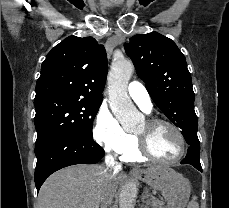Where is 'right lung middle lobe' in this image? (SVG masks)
Segmentation results:
<instances>
[{"mask_svg": "<svg viewBox=\"0 0 229 208\" xmlns=\"http://www.w3.org/2000/svg\"><path fill=\"white\" fill-rule=\"evenodd\" d=\"M36 145L61 132H76L93 138L92 121L101 103L70 96H50L34 101Z\"/></svg>", "mask_w": 229, "mask_h": 208, "instance_id": "obj_1", "label": "right lung middle lobe"}]
</instances>
